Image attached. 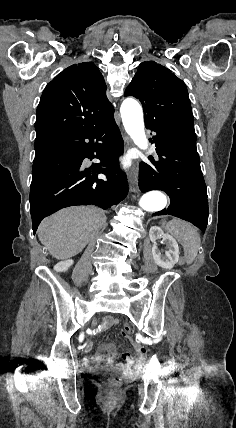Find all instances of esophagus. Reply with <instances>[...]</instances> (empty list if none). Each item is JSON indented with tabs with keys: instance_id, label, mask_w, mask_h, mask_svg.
<instances>
[{
	"instance_id": "obj_1",
	"label": "esophagus",
	"mask_w": 236,
	"mask_h": 428,
	"mask_svg": "<svg viewBox=\"0 0 236 428\" xmlns=\"http://www.w3.org/2000/svg\"><path fill=\"white\" fill-rule=\"evenodd\" d=\"M124 141H125V146L127 148H130L132 146V141L128 136L125 135ZM130 191L134 193L138 192L137 176L135 173L130 176Z\"/></svg>"
}]
</instances>
